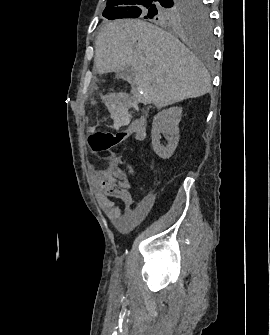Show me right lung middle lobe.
<instances>
[{"label": "right lung middle lobe", "mask_w": 270, "mask_h": 335, "mask_svg": "<svg viewBox=\"0 0 270 335\" xmlns=\"http://www.w3.org/2000/svg\"><path fill=\"white\" fill-rule=\"evenodd\" d=\"M202 1L107 0L103 16L110 20L139 17L207 44L212 36V26L209 9Z\"/></svg>", "instance_id": "right-lung-middle-lobe-1"}]
</instances>
